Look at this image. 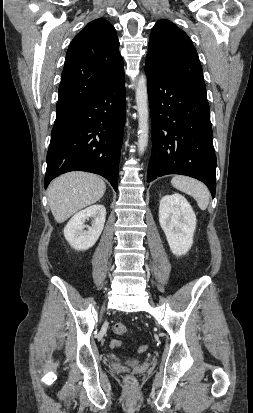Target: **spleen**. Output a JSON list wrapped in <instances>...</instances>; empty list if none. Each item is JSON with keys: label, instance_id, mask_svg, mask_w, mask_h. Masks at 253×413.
<instances>
[{"label": "spleen", "instance_id": "obj_1", "mask_svg": "<svg viewBox=\"0 0 253 413\" xmlns=\"http://www.w3.org/2000/svg\"><path fill=\"white\" fill-rule=\"evenodd\" d=\"M171 184L174 188L192 196L201 210H206L209 204L210 192L206 185L188 176L176 175Z\"/></svg>", "mask_w": 253, "mask_h": 413}]
</instances>
